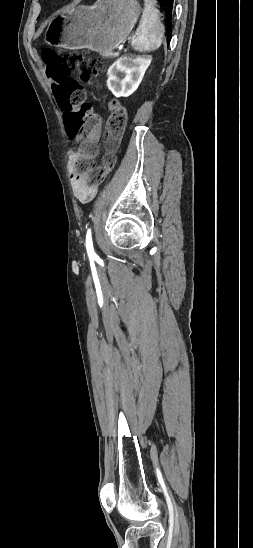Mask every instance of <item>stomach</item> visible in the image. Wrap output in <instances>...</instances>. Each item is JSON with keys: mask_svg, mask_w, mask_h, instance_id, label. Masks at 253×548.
Returning a JSON list of instances; mask_svg holds the SVG:
<instances>
[{"mask_svg": "<svg viewBox=\"0 0 253 548\" xmlns=\"http://www.w3.org/2000/svg\"><path fill=\"white\" fill-rule=\"evenodd\" d=\"M136 0H98L56 16L48 25L50 44L71 50L88 48L100 54L112 52L130 34L140 15Z\"/></svg>", "mask_w": 253, "mask_h": 548, "instance_id": "1", "label": "stomach"}]
</instances>
